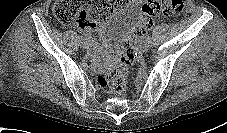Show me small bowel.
I'll return each instance as SVG.
<instances>
[{
  "label": "small bowel",
  "instance_id": "small-bowel-1",
  "mask_svg": "<svg viewBox=\"0 0 227 133\" xmlns=\"http://www.w3.org/2000/svg\"><path fill=\"white\" fill-rule=\"evenodd\" d=\"M136 2H141V0H136ZM95 26H96L95 23H93L92 25L79 24V29L81 30L82 34L89 40V42L91 43V45L94 48L97 47L96 41L93 38V30H94ZM142 35H143V33L140 35H137L136 37L140 38ZM95 60L98 61L97 55H95Z\"/></svg>",
  "mask_w": 227,
  "mask_h": 133
}]
</instances>
